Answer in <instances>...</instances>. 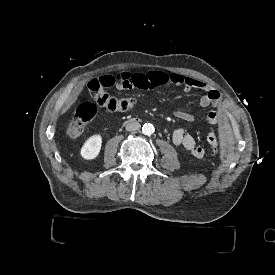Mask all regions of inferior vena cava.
<instances>
[{
    "mask_svg": "<svg viewBox=\"0 0 275 275\" xmlns=\"http://www.w3.org/2000/svg\"><path fill=\"white\" fill-rule=\"evenodd\" d=\"M141 127L139 122H129L126 124L125 129L127 131H137Z\"/></svg>",
    "mask_w": 275,
    "mask_h": 275,
    "instance_id": "602c4592",
    "label": "inferior vena cava"
}]
</instances>
